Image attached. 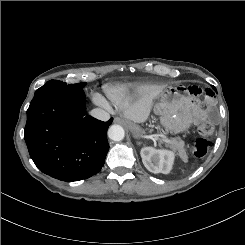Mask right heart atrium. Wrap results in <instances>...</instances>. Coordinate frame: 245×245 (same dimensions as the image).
<instances>
[{
    "label": "right heart atrium",
    "instance_id": "obj_1",
    "mask_svg": "<svg viewBox=\"0 0 245 245\" xmlns=\"http://www.w3.org/2000/svg\"><path fill=\"white\" fill-rule=\"evenodd\" d=\"M96 101H97V103L100 104L101 106L107 107V103H106L102 98L97 97V98H96Z\"/></svg>",
    "mask_w": 245,
    "mask_h": 245
}]
</instances>
